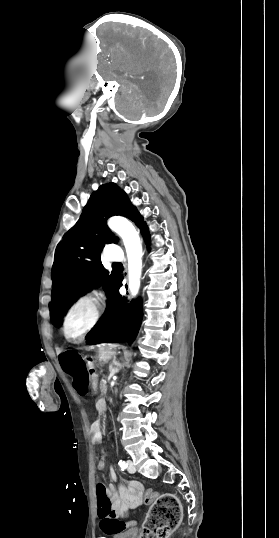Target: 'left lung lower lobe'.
Segmentation results:
<instances>
[{"label": "left lung lower lobe", "instance_id": "0a47b994", "mask_svg": "<svg viewBox=\"0 0 279 538\" xmlns=\"http://www.w3.org/2000/svg\"><path fill=\"white\" fill-rule=\"evenodd\" d=\"M141 233L147 246H149L150 234L148 227L146 226ZM121 281L118 277L114 287L113 299L116 306L115 310L101 329L90 336H86L88 344L92 345L103 342L132 343L134 341L141 324L142 307L137 300L132 304H128L126 298L121 297L119 294Z\"/></svg>", "mask_w": 279, "mask_h": 538}]
</instances>
